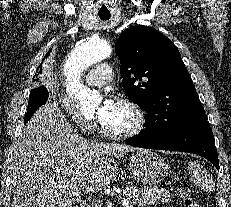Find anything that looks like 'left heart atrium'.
Wrapping results in <instances>:
<instances>
[{
	"label": "left heart atrium",
	"mask_w": 231,
	"mask_h": 207,
	"mask_svg": "<svg viewBox=\"0 0 231 207\" xmlns=\"http://www.w3.org/2000/svg\"><path fill=\"white\" fill-rule=\"evenodd\" d=\"M119 102H117L114 98L109 97L106 98L98 111V119L99 121L104 124L106 123L110 117L114 114Z\"/></svg>",
	"instance_id": "obj_1"
}]
</instances>
